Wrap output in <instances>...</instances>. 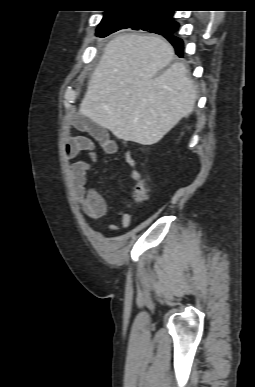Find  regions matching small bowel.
<instances>
[{
    "label": "small bowel",
    "mask_w": 255,
    "mask_h": 387,
    "mask_svg": "<svg viewBox=\"0 0 255 387\" xmlns=\"http://www.w3.org/2000/svg\"><path fill=\"white\" fill-rule=\"evenodd\" d=\"M71 129L86 132L92 138L96 139L103 151L107 154H115L119 150V144L110 138L107 130L84 116H75L69 121ZM89 153V160H78L71 164L70 182L71 192L74 200L81 206L83 212L90 218L97 219L104 216L108 211V204L102 194L95 188H88L87 174L96 160L93 152V142L90 137L84 135L70 134L65 143V154L70 160L75 159L81 152ZM125 162L131 168L128 176L132 181H138L141 177L137 169V162L129 151H125ZM121 219V228L126 229L130 225V215L124 211L118 212ZM120 228L116 225H110L108 231L116 232Z\"/></svg>",
    "instance_id": "obj_1"
}]
</instances>
